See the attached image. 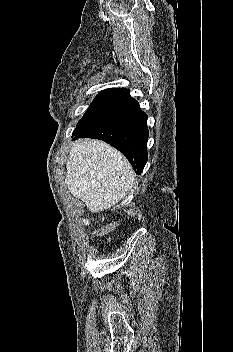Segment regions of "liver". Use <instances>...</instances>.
<instances>
[{"instance_id": "6515ba94", "label": "liver", "mask_w": 233, "mask_h": 352, "mask_svg": "<svg viewBox=\"0 0 233 352\" xmlns=\"http://www.w3.org/2000/svg\"><path fill=\"white\" fill-rule=\"evenodd\" d=\"M65 182L69 191L96 213L110 209L131 190L135 174L128 160L98 140L77 141L69 152ZM84 225L89 220L82 219Z\"/></svg>"}]
</instances>
